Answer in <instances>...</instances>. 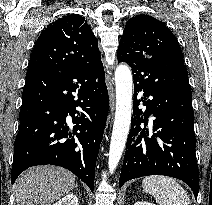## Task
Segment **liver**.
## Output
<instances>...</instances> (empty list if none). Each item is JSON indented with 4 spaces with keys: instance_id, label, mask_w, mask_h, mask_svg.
Masks as SVG:
<instances>
[{
    "instance_id": "obj_1",
    "label": "liver",
    "mask_w": 212,
    "mask_h": 205,
    "mask_svg": "<svg viewBox=\"0 0 212 205\" xmlns=\"http://www.w3.org/2000/svg\"><path fill=\"white\" fill-rule=\"evenodd\" d=\"M75 176L56 166H36L23 172L14 184L17 205H51L73 190Z\"/></svg>"
}]
</instances>
